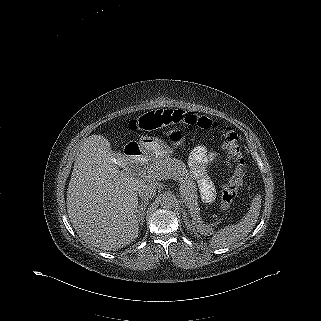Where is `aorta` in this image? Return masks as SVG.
<instances>
[{"label":"aorta","mask_w":321,"mask_h":321,"mask_svg":"<svg viewBox=\"0 0 321 321\" xmlns=\"http://www.w3.org/2000/svg\"><path fill=\"white\" fill-rule=\"evenodd\" d=\"M177 202L176 196L171 192H165L160 196V205L163 208L170 209L175 206Z\"/></svg>","instance_id":"1"}]
</instances>
